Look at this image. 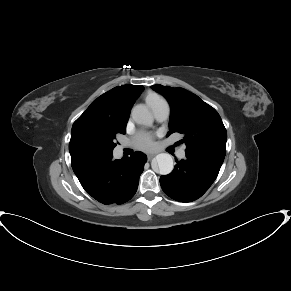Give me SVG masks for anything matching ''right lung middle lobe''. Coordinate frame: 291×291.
Returning <instances> with one entry per match:
<instances>
[{
  "mask_svg": "<svg viewBox=\"0 0 291 291\" xmlns=\"http://www.w3.org/2000/svg\"><path fill=\"white\" fill-rule=\"evenodd\" d=\"M117 133L125 134V130L121 132H109L107 134H88L82 139V148L87 155L111 154L116 144L114 143Z\"/></svg>",
  "mask_w": 291,
  "mask_h": 291,
  "instance_id": "obj_1",
  "label": "right lung middle lobe"
}]
</instances>
